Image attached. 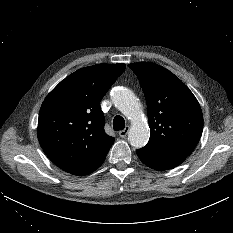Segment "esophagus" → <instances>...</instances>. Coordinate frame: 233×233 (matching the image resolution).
<instances>
[{
  "mask_svg": "<svg viewBox=\"0 0 233 233\" xmlns=\"http://www.w3.org/2000/svg\"><path fill=\"white\" fill-rule=\"evenodd\" d=\"M128 132H129V126L125 127L124 130H121V131L119 132V136H120L121 138H125V137L127 136Z\"/></svg>",
  "mask_w": 233,
  "mask_h": 233,
  "instance_id": "obj_1",
  "label": "esophagus"
}]
</instances>
